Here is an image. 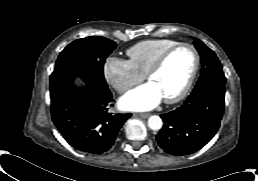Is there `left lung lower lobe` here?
I'll use <instances>...</instances> for the list:
<instances>
[{
    "instance_id": "0a47b994",
    "label": "left lung lower lobe",
    "mask_w": 258,
    "mask_h": 181,
    "mask_svg": "<svg viewBox=\"0 0 258 181\" xmlns=\"http://www.w3.org/2000/svg\"><path fill=\"white\" fill-rule=\"evenodd\" d=\"M225 85L210 84L192 92L184 104L162 114L164 126L156 136L168 154L183 156L205 146L217 132L224 112Z\"/></svg>"
}]
</instances>
